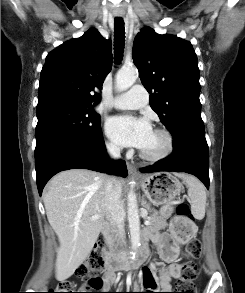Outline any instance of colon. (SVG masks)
<instances>
[{"label": "colon", "instance_id": "obj_1", "mask_svg": "<svg viewBox=\"0 0 245 293\" xmlns=\"http://www.w3.org/2000/svg\"><path fill=\"white\" fill-rule=\"evenodd\" d=\"M177 214L183 218L190 217V210L187 204L181 203L177 206ZM189 223L186 220H178L174 222L171 233L175 237H180L188 232ZM106 248L104 238L97 240L96 250L82 263L76 270V276L84 281L83 289L86 291L99 289L103 283L98 274L103 266V258L101 251ZM202 245L199 240L191 241L185 250L186 262L183 265L182 278L176 283L175 292L172 293H194V280L196 278V267L194 260L201 257ZM74 285L68 281H64L49 289L47 293H91V292H74L77 291Z\"/></svg>", "mask_w": 245, "mask_h": 293}]
</instances>
